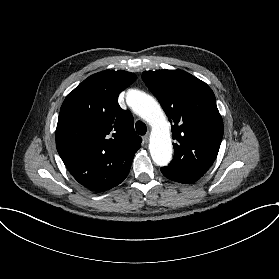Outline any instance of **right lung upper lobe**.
I'll list each match as a JSON object with an SVG mask.
<instances>
[{
	"mask_svg": "<svg viewBox=\"0 0 279 279\" xmlns=\"http://www.w3.org/2000/svg\"><path fill=\"white\" fill-rule=\"evenodd\" d=\"M136 79L131 72L106 70L91 75L65 98L56 129V148L75 180L104 192L128 175L141 147L133 117L117 102Z\"/></svg>",
	"mask_w": 279,
	"mask_h": 279,
	"instance_id": "cb5924a9",
	"label": "right lung upper lobe"
}]
</instances>
